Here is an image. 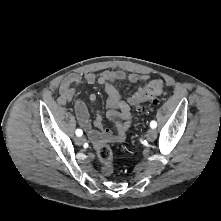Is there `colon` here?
<instances>
[{"mask_svg": "<svg viewBox=\"0 0 221 221\" xmlns=\"http://www.w3.org/2000/svg\"><path fill=\"white\" fill-rule=\"evenodd\" d=\"M163 92V82L154 80L146 86L139 88L129 99V103L139 108L140 104L146 101H155L156 98ZM97 156L102 164V172L105 175H110L113 172V152L106 145L99 146Z\"/></svg>", "mask_w": 221, "mask_h": 221, "instance_id": "1", "label": "colon"}]
</instances>
